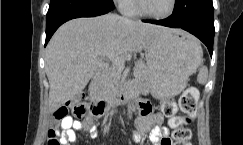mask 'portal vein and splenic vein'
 I'll return each instance as SVG.
<instances>
[{"instance_id":"obj_1","label":"portal vein and splenic vein","mask_w":243,"mask_h":145,"mask_svg":"<svg viewBox=\"0 0 243 145\" xmlns=\"http://www.w3.org/2000/svg\"><path fill=\"white\" fill-rule=\"evenodd\" d=\"M98 54L108 57L113 62V64H115L122 70L124 69V67H125L124 59H122L118 55H114V54L107 53V52L98 53Z\"/></svg>"}]
</instances>
